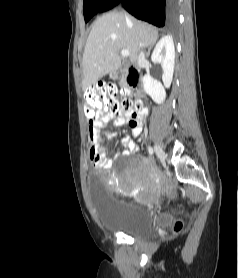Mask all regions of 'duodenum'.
Returning <instances> with one entry per match:
<instances>
[{"instance_id": "410a0bca", "label": "duodenum", "mask_w": 238, "mask_h": 278, "mask_svg": "<svg viewBox=\"0 0 238 278\" xmlns=\"http://www.w3.org/2000/svg\"><path fill=\"white\" fill-rule=\"evenodd\" d=\"M119 74L125 77L130 89L134 90L136 88L139 81V72L136 68L126 67L122 69L119 73H115L114 77H117Z\"/></svg>"}]
</instances>
